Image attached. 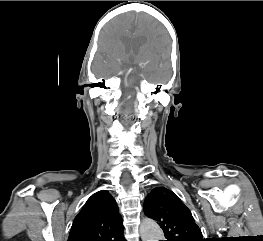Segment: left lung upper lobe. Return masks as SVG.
Listing matches in <instances>:
<instances>
[{
    "instance_id": "obj_1",
    "label": "left lung upper lobe",
    "mask_w": 263,
    "mask_h": 241,
    "mask_svg": "<svg viewBox=\"0 0 263 241\" xmlns=\"http://www.w3.org/2000/svg\"><path fill=\"white\" fill-rule=\"evenodd\" d=\"M144 212L157 221L167 241H204L190 210L167 188L156 187L147 195Z\"/></svg>"
}]
</instances>
